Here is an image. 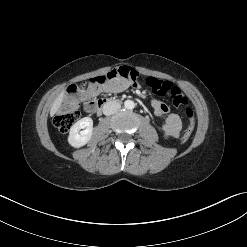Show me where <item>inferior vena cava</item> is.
Here are the masks:
<instances>
[{
  "label": "inferior vena cava",
  "mask_w": 247,
  "mask_h": 247,
  "mask_svg": "<svg viewBox=\"0 0 247 247\" xmlns=\"http://www.w3.org/2000/svg\"><path fill=\"white\" fill-rule=\"evenodd\" d=\"M121 108V105L116 101H108L103 106V113L106 116L112 115Z\"/></svg>",
  "instance_id": "1"
}]
</instances>
